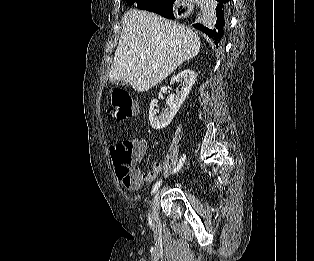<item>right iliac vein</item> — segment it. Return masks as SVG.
Returning a JSON list of instances; mask_svg holds the SVG:
<instances>
[{
    "label": "right iliac vein",
    "instance_id": "1",
    "mask_svg": "<svg viewBox=\"0 0 314 261\" xmlns=\"http://www.w3.org/2000/svg\"><path fill=\"white\" fill-rule=\"evenodd\" d=\"M159 213V193H157L151 202V215L154 224H158Z\"/></svg>",
    "mask_w": 314,
    "mask_h": 261
}]
</instances>
